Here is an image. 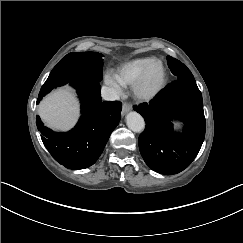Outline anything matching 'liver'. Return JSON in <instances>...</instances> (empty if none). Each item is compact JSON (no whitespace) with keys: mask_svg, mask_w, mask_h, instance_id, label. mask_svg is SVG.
<instances>
[{"mask_svg":"<svg viewBox=\"0 0 243 243\" xmlns=\"http://www.w3.org/2000/svg\"><path fill=\"white\" fill-rule=\"evenodd\" d=\"M38 112L53 127L68 128L77 116V105L67 89L50 94L39 106Z\"/></svg>","mask_w":243,"mask_h":243,"instance_id":"1","label":"liver"}]
</instances>
